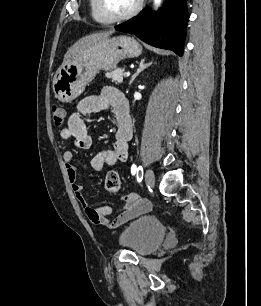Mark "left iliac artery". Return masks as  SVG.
Masks as SVG:
<instances>
[{"mask_svg": "<svg viewBox=\"0 0 261 306\" xmlns=\"http://www.w3.org/2000/svg\"><path fill=\"white\" fill-rule=\"evenodd\" d=\"M131 173H132V175L137 173V180L138 181L142 180V178H143V168H142V166L136 167V165H132Z\"/></svg>", "mask_w": 261, "mask_h": 306, "instance_id": "obj_1", "label": "left iliac artery"}]
</instances>
